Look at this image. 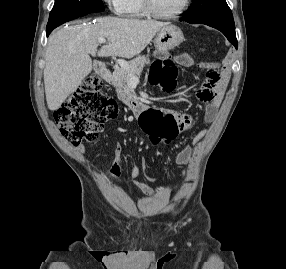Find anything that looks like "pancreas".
Masks as SVG:
<instances>
[{"label":"pancreas","instance_id":"cf45deb5","mask_svg":"<svg viewBox=\"0 0 286 269\" xmlns=\"http://www.w3.org/2000/svg\"><path fill=\"white\" fill-rule=\"evenodd\" d=\"M146 64H149L147 56H139L128 63L129 69L115 67L112 77V85L116 88L118 98L124 103H129L136 95L130 85L132 76H139Z\"/></svg>","mask_w":286,"mask_h":269}]
</instances>
